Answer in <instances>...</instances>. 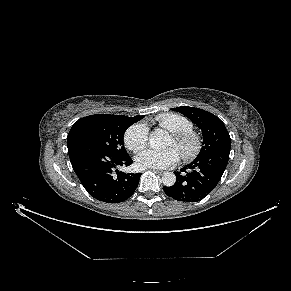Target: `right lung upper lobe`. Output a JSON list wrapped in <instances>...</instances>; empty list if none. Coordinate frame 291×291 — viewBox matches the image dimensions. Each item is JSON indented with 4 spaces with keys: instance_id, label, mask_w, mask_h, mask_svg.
I'll list each match as a JSON object with an SVG mask.
<instances>
[{
    "instance_id": "1",
    "label": "right lung upper lobe",
    "mask_w": 291,
    "mask_h": 291,
    "mask_svg": "<svg viewBox=\"0 0 291 291\" xmlns=\"http://www.w3.org/2000/svg\"><path fill=\"white\" fill-rule=\"evenodd\" d=\"M100 115H109V114H100ZM129 118L138 121V120L142 119L143 116H135V117H129Z\"/></svg>"
}]
</instances>
